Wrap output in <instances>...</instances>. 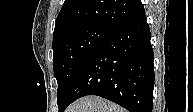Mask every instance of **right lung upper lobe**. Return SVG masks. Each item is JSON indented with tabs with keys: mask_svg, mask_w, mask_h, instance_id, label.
<instances>
[{
	"mask_svg": "<svg viewBox=\"0 0 193 112\" xmlns=\"http://www.w3.org/2000/svg\"><path fill=\"white\" fill-rule=\"evenodd\" d=\"M144 11L141 0H65L54 34L64 29L95 24L114 30Z\"/></svg>",
	"mask_w": 193,
	"mask_h": 112,
	"instance_id": "obj_1",
	"label": "right lung upper lobe"
}]
</instances>
